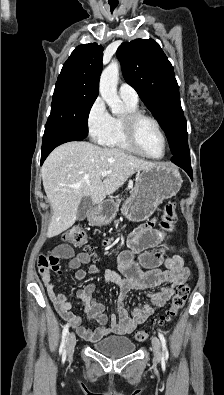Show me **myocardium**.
Returning <instances> with one entry per match:
<instances>
[{
  "label": "myocardium",
  "instance_id": "myocardium-1",
  "mask_svg": "<svg viewBox=\"0 0 224 395\" xmlns=\"http://www.w3.org/2000/svg\"><path fill=\"white\" fill-rule=\"evenodd\" d=\"M150 121L157 129L159 132L160 136L162 137L163 143H164V152L160 157H155L147 153L143 147L141 146L139 140H138V126L139 124L144 121ZM122 124H123V130H124V135L128 141V143L131 145V147L136 150L138 153L141 155L154 159V160H161L166 156L167 148H168V141L167 137L159 123V121L144 112L141 111H133V112H126L123 117H122Z\"/></svg>",
  "mask_w": 224,
  "mask_h": 395
}]
</instances>
